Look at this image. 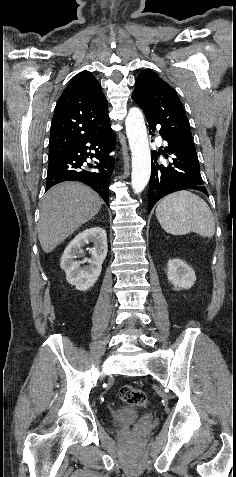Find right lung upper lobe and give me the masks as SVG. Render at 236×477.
<instances>
[{"mask_svg": "<svg viewBox=\"0 0 236 477\" xmlns=\"http://www.w3.org/2000/svg\"><path fill=\"white\" fill-rule=\"evenodd\" d=\"M110 123L108 103L89 71L77 74L61 94L51 124L52 160L74 148L89 134Z\"/></svg>", "mask_w": 236, "mask_h": 477, "instance_id": "1", "label": "right lung upper lobe"}]
</instances>
